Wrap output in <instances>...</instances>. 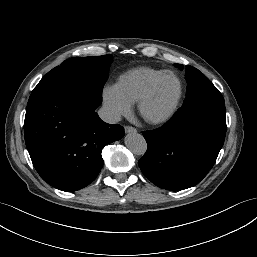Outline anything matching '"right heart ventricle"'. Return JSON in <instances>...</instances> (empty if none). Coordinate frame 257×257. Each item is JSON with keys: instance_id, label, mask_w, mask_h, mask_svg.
Masks as SVG:
<instances>
[{"instance_id": "obj_1", "label": "right heart ventricle", "mask_w": 257, "mask_h": 257, "mask_svg": "<svg viewBox=\"0 0 257 257\" xmlns=\"http://www.w3.org/2000/svg\"><path fill=\"white\" fill-rule=\"evenodd\" d=\"M165 71L152 67L134 68L122 73L113 87L129 104L135 105L150 82Z\"/></svg>"}]
</instances>
